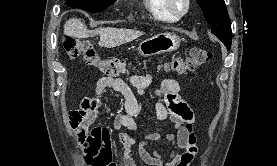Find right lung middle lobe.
<instances>
[{
	"mask_svg": "<svg viewBox=\"0 0 277 166\" xmlns=\"http://www.w3.org/2000/svg\"><path fill=\"white\" fill-rule=\"evenodd\" d=\"M116 0H68L67 6L86 11L101 12L112 5Z\"/></svg>",
	"mask_w": 277,
	"mask_h": 166,
	"instance_id": "dd1d6c3e",
	"label": "right lung middle lobe"
}]
</instances>
